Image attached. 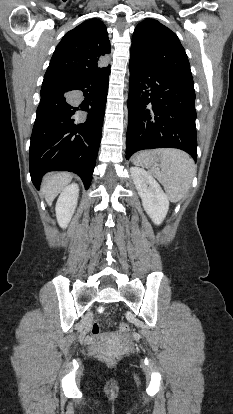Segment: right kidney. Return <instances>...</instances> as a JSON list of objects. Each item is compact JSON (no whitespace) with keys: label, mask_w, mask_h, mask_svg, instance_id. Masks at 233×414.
Wrapping results in <instances>:
<instances>
[{"label":"right kidney","mask_w":233,"mask_h":414,"mask_svg":"<svg viewBox=\"0 0 233 414\" xmlns=\"http://www.w3.org/2000/svg\"><path fill=\"white\" fill-rule=\"evenodd\" d=\"M78 196L79 188L75 183L62 190L55 207L57 221L62 228H66L70 222L77 206Z\"/></svg>","instance_id":"obj_1"}]
</instances>
